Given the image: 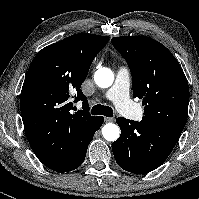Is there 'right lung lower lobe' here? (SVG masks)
Listing matches in <instances>:
<instances>
[{"label":"right lung lower lobe","instance_id":"right-lung-lower-lobe-1","mask_svg":"<svg viewBox=\"0 0 199 199\" xmlns=\"http://www.w3.org/2000/svg\"><path fill=\"white\" fill-rule=\"evenodd\" d=\"M103 121L104 118L98 116L90 125L77 131L66 141L62 153L55 157L47 155L49 139L40 129L26 130V136L35 155L46 167L57 172H67L78 168L83 163L88 145Z\"/></svg>","mask_w":199,"mask_h":199}]
</instances>
